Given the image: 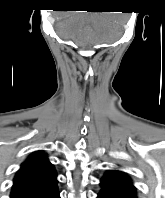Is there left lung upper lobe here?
I'll return each mask as SVG.
<instances>
[{
  "instance_id": "obj_1",
  "label": "left lung upper lobe",
  "mask_w": 165,
  "mask_h": 198,
  "mask_svg": "<svg viewBox=\"0 0 165 198\" xmlns=\"http://www.w3.org/2000/svg\"><path fill=\"white\" fill-rule=\"evenodd\" d=\"M113 171L120 174L122 177H124L128 181H131V179L124 172H121V171H118V170H113Z\"/></svg>"
}]
</instances>
